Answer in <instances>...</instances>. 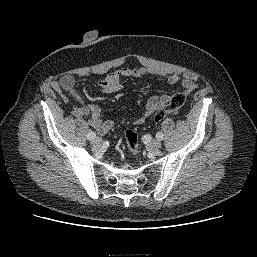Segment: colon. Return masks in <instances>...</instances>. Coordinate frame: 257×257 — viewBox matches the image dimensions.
I'll return each instance as SVG.
<instances>
[{"instance_id":"5ec220e1","label":"colon","mask_w":257,"mask_h":257,"mask_svg":"<svg viewBox=\"0 0 257 257\" xmlns=\"http://www.w3.org/2000/svg\"><path fill=\"white\" fill-rule=\"evenodd\" d=\"M186 102V95L183 93H176L172 95L168 102L162 105L155 113V121L159 122L164 119L169 113L179 110L184 106ZM124 141L127 149L135 153L138 148V137L137 134L132 131L128 130L125 133Z\"/></svg>"}]
</instances>
